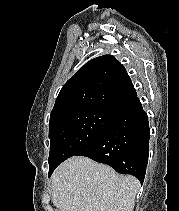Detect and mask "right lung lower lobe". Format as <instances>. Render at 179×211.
<instances>
[{
	"label": "right lung lower lobe",
	"instance_id": "obj_1",
	"mask_svg": "<svg viewBox=\"0 0 179 211\" xmlns=\"http://www.w3.org/2000/svg\"><path fill=\"white\" fill-rule=\"evenodd\" d=\"M148 116L137 95L118 110L104 133L76 156H86L107 164L121 174L144 181L149 155ZM53 171L49 172V176Z\"/></svg>",
	"mask_w": 179,
	"mask_h": 211
}]
</instances>
